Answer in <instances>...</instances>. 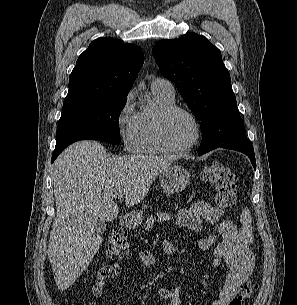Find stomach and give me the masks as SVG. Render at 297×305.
Instances as JSON below:
<instances>
[{"label":"stomach","instance_id":"1","mask_svg":"<svg viewBox=\"0 0 297 305\" xmlns=\"http://www.w3.org/2000/svg\"><path fill=\"white\" fill-rule=\"evenodd\" d=\"M189 181V172L180 165H170L160 173L161 186L169 194L182 191ZM137 220H141L140 214L137 215Z\"/></svg>","mask_w":297,"mask_h":305}]
</instances>
